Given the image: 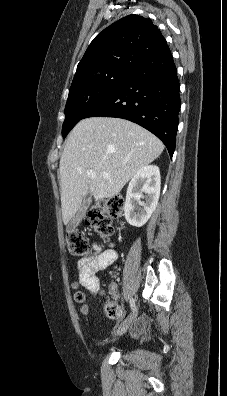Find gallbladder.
Instances as JSON below:
<instances>
[{
    "mask_svg": "<svg viewBox=\"0 0 227 396\" xmlns=\"http://www.w3.org/2000/svg\"><path fill=\"white\" fill-rule=\"evenodd\" d=\"M91 201H92V196L90 194L84 196L82 206L77 212L76 216L70 222V224H68L67 231H73L79 225V223L82 221L83 217L85 216V213L87 212L88 208L90 207Z\"/></svg>",
    "mask_w": 227,
    "mask_h": 396,
    "instance_id": "bac80fb5",
    "label": "gallbladder"
}]
</instances>
